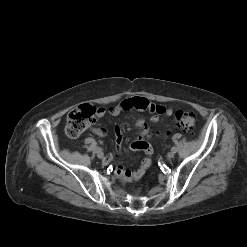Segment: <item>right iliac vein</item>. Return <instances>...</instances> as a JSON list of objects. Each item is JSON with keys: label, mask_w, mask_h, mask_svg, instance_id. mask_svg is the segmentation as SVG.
I'll list each match as a JSON object with an SVG mask.
<instances>
[{"label": "right iliac vein", "mask_w": 247, "mask_h": 247, "mask_svg": "<svg viewBox=\"0 0 247 247\" xmlns=\"http://www.w3.org/2000/svg\"><path fill=\"white\" fill-rule=\"evenodd\" d=\"M96 153H97V157L98 158L102 159L104 157V153L102 152V150L101 151H97Z\"/></svg>", "instance_id": "63e3f726"}]
</instances>
